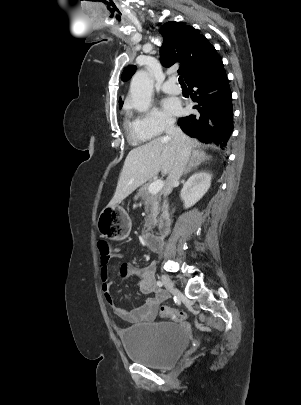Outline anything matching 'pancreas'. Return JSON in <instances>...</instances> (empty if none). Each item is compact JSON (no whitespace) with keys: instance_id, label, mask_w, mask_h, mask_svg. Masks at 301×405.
Returning <instances> with one entry per match:
<instances>
[{"instance_id":"pancreas-1","label":"pancreas","mask_w":301,"mask_h":405,"mask_svg":"<svg viewBox=\"0 0 301 405\" xmlns=\"http://www.w3.org/2000/svg\"><path fill=\"white\" fill-rule=\"evenodd\" d=\"M149 184H143L137 191V198H141L142 202L146 205L147 216L144 220L143 234L148 233L153 229L157 221L158 207H159V194H152L148 190Z\"/></svg>"}]
</instances>
